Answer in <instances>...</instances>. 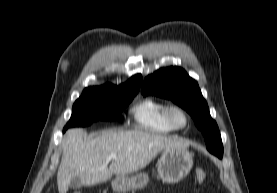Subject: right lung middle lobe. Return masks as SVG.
Returning <instances> with one entry per match:
<instances>
[{"instance_id":"obj_1","label":"right lung middle lobe","mask_w":277,"mask_h":193,"mask_svg":"<svg viewBox=\"0 0 277 193\" xmlns=\"http://www.w3.org/2000/svg\"><path fill=\"white\" fill-rule=\"evenodd\" d=\"M135 95L136 92L102 93L84 90L74 103L71 119L63 130L75 126H88L98 120H115Z\"/></svg>"}]
</instances>
